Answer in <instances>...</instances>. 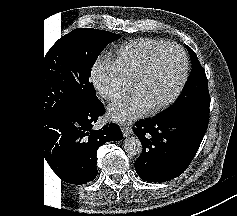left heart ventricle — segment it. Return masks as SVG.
<instances>
[{"label": "left heart ventricle", "mask_w": 237, "mask_h": 216, "mask_svg": "<svg viewBox=\"0 0 237 216\" xmlns=\"http://www.w3.org/2000/svg\"><path fill=\"white\" fill-rule=\"evenodd\" d=\"M176 71L177 64L149 69L138 81L136 97L151 102L163 99L175 81Z\"/></svg>", "instance_id": "b2bd125f"}]
</instances>
